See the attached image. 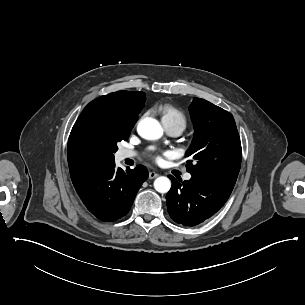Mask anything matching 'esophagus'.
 Wrapping results in <instances>:
<instances>
[{
    "label": "esophagus",
    "instance_id": "obj_1",
    "mask_svg": "<svg viewBox=\"0 0 305 305\" xmlns=\"http://www.w3.org/2000/svg\"><path fill=\"white\" fill-rule=\"evenodd\" d=\"M156 177H158V174H157V173H155V172H150V173H149V179H154V178H156Z\"/></svg>",
    "mask_w": 305,
    "mask_h": 305
}]
</instances>
